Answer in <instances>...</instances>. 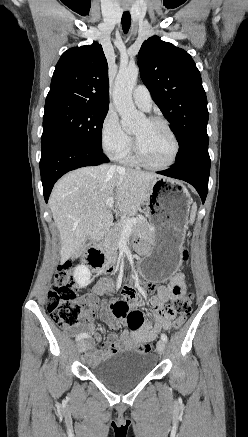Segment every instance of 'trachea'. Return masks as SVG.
I'll return each mask as SVG.
<instances>
[{
    "label": "trachea",
    "instance_id": "3493384b",
    "mask_svg": "<svg viewBox=\"0 0 248 437\" xmlns=\"http://www.w3.org/2000/svg\"><path fill=\"white\" fill-rule=\"evenodd\" d=\"M121 23L124 33H127L131 25V15L128 11L123 13Z\"/></svg>",
    "mask_w": 248,
    "mask_h": 437
}]
</instances>
